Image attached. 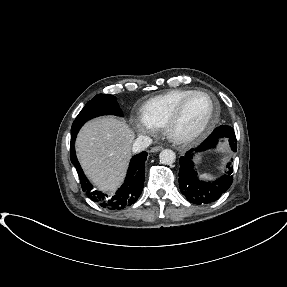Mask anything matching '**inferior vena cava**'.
Here are the masks:
<instances>
[{
  "label": "inferior vena cava",
  "mask_w": 287,
  "mask_h": 287,
  "mask_svg": "<svg viewBox=\"0 0 287 287\" xmlns=\"http://www.w3.org/2000/svg\"><path fill=\"white\" fill-rule=\"evenodd\" d=\"M152 143V139L149 136L139 135L134 141L132 151L138 153L145 150Z\"/></svg>",
  "instance_id": "1"
}]
</instances>
